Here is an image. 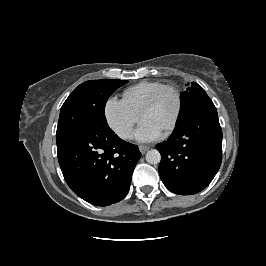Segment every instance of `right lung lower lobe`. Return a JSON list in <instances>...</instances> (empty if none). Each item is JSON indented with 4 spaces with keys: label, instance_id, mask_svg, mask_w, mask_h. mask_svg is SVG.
<instances>
[{
    "label": "right lung lower lobe",
    "instance_id": "98d812e1",
    "mask_svg": "<svg viewBox=\"0 0 266 266\" xmlns=\"http://www.w3.org/2000/svg\"><path fill=\"white\" fill-rule=\"evenodd\" d=\"M68 186L83 200L108 206L129 192L141 157L138 146L121 140L109 127L97 128L57 147Z\"/></svg>",
    "mask_w": 266,
    "mask_h": 266
}]
</instances>
